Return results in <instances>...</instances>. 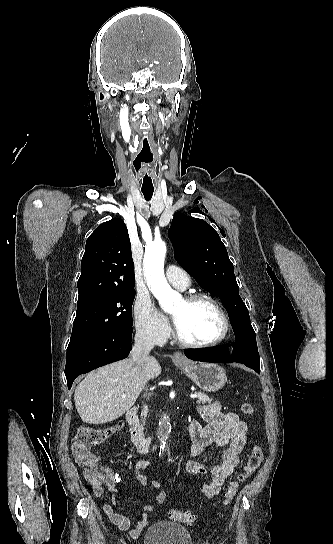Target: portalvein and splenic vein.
Returning a JSON list of instances; mask_svg holds the SVG:
<instances>
[{"label": "portal vein and splenic vein", "mask_w": 333, "mask_h": 544, "mask_svg": "<svg viewBox=\"0 0 333 544\" xmlns=\"http://www.w3.org/2000/svg\"><path fill=\"white\" fill-rule=\"evenodd\" d=\"M125 396H126V395H124V394L122 395V397H125ZM197 397H198L197 394H190V398H193V399H194V398H197Z\"/></svg>", "instance_id": "obj_1"}]
</instances>
